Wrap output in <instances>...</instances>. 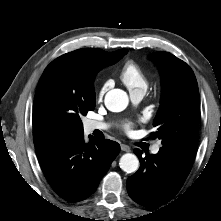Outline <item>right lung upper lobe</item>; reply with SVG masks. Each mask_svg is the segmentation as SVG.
Instances as JSON below:
<instances>
[{"label":"right lung upper lobe","instance_id":"obj_1","mask_svg":"<svg viewBox=\"0 0 221 221\" xmlns=\"http://www.w3.org/2000/svg\"><path fill=\"white\" fill-rule=\"evenodd\" d=\"M126 53H127L126 49H121L115 52H105L101 49L87 48V49L75 50L73 52L64 54L55 60L63 61L66 63V65L70 67H76L78 69H82L84 67L92 65L98 66L107 63L112 59H116L120 56L123 57ZM108 65L112 64H107L105 66ZM77 92L79 93L78 90ZM80 94L86 97H95L94 87L93 89L82 90L80 91ZM33 127H34L33 135H34L35 148L45 145L51 141L64 139L71 135L81 134L80 132H77L71 128H62V129L56 128L51 124H49L44 118L36 115L33 116Z\"/></svg>","mask_w":221,"mask_h":221}]
</instances>
